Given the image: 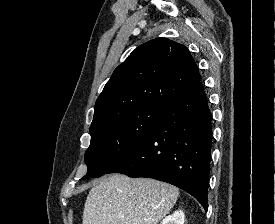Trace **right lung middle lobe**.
<instances>
[{
    "label": "right lung middle lobe",
    "mask_w": 275,
    "mask_h": 224,
    "mask_svg": "<svg viewBox=\"0 0 275 224\" xmlns=\"http://www.w3.org/2000/svg\"><path fill=\"white\" fill-rule=\"evenodd\" d=\"M165 111L143 107L90 127L91 143L85 153L88 171L82 179L107 174L150 134Z\"/></svg>",
    "instance_id": "right-lung-middle-lobe-1"
}]
</instances>
